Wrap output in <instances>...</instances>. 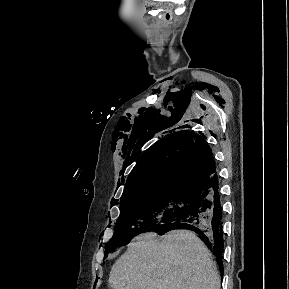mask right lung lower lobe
Returning <instances> with one entry per match:
<instances>
[{
    "label": "right lung lower lobe",
    "mask_w": 289,
    "mask_h": 289,
    "mask_svg": "<svg viewBox=\"0 0 289 289\" xmlns=\"http://www.w3.org/2000/svg\"><path fill=\"white\" fill-rule=\"evenodd\" d=\"M218 189L217 181L203 192L196 194V202L187 213L155 232L162 235L174 229L194 231L216 256L221 274H223L224 240L221 222L222 206Z\"/></svg>",
    "instance_id": "obj_1"
}]
</instances>
